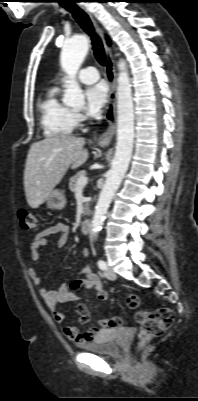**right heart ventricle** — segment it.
I'll return each mask as SVG.
<instances>
[{
	"mask_svg": "<svg viewBox=\"0 0 198 401\" xmlns=\"http://www.w3.org/2000/svg\"><path fill=\"white\" fill-rule=\"evenodd\" d=\"M40 121L47 137L71 135L77 126L75 112L59 99V89L51 87L39 103Z\"/></svg>",
	"mask_w": 198,
	"mask_h": 401,
	"instance_id": "e07e8e85",
	"label": "right heart ventricle"
}]
</instances>
